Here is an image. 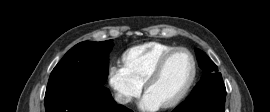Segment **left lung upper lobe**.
Listing matches in <instances>:
<instances>
[{
  "label": "left lung upper lobe",
  "mask_w": 270,
  "mask_h": 112,
  "mask_svg": "<svg viewBox=\"0 0 270 112\" xmlns=\"http://www.w3.org/2000/svg\"><path fill=\"white\" fill-rule=\"evenodd\" d=\"M196 54L199 66L204 71V75L201 77V80L194 87L187 99H192L198 96L215 83H223L222 75L218 72V68L214 62L200 49H196Z\"/></svg>",
  "instance_id": "5c2ea615"
}]
</instances>
